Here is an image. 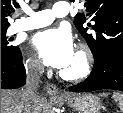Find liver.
<instances>
[{
  "mask_svg": "<svg viewBox=\"0 0 123 113\" xmlns=\"http://www.w3.org/2000/svg\"><path fill=\"white\" fill-rule=\"evenodd\" d=\"M43 102L38 96L32 111L40 113ZM1 113H24L23 92L21 90H1Z\"/></svg>",
  "mask_w": 123,
  "mask_h": 113,
  "instance_id": "obj_1",
  "label": "liver"
}]
</instances>
